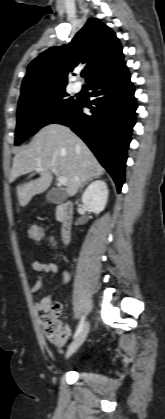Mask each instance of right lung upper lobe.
Here are the masks:
<instances>
[{"label":"right lung upper lobe","instance_id":"right-lung-upper-lobe-1","mask_svg":"<svg viewBox=\"0 0 165 419\" xmlns=\"http://www.w3.org/2000/svg\"><path fill=\"white\" fill-rule=\"evenodd\" d=\"M80 63H87L88 84L124 63L117 37L98 19L90 18L68 45L50 48L29 64L19 101L65 88L68 73Z\"/></svg>","mask_w":165,"mask_h":419}]
</instances>
